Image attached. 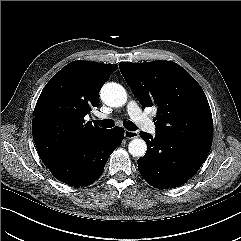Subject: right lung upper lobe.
I'll return each instance as SVG.
<instances>
[{
	"label": "right lung upper lobe",
	"instance_id": "obj_1",
	"mask_svg": "<svg viewBox=\"0 0 241 241\" xmlns=\"http://www.w3.org/2000/svg\"><path fill=\"white\" fill-rule=\"evenodd\" d=\"M117 65L75 61L62 68L44 87L34 109L33 139L41 159L86 144L106 129L85 123L99 91Z\"/></svg>",
	"mask_w": 241,
	"mask_h": 241
}]
</instances>
